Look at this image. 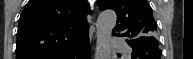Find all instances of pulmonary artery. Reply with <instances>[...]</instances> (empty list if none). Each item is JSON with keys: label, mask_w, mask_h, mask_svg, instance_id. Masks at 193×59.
Masks as SVG:
<instances>
[{"label": "pulmonary artery", "mask_w": 193, "mask_h": 59, "mask_svg": "<svg viewBox=\"0 0 193 59\" xmlns=\"http://www.w3.org/2000/svg\"><path fill=\"white\" fill-rule=\"evenodd\" d=\"M111 44L115 45V46H124L125 45L124 42L117 36H112L111 37ZM124 52H125V54L130 53L129 50H125Z\"/></svg>", "instance_id": "pulmonary-artery-1"}]
</instances>
